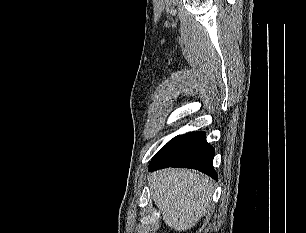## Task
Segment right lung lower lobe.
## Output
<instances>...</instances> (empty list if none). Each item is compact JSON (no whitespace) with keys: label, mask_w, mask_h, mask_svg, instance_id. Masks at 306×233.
<instances>
[{"label":"right lung lower lobe","mask_w":306,"mask_h":233,"mask_svg":"<svg viewBox=\"0 0 306 233\" xmlns=\"http://www.w3.org/2000/svg\"><path fill=\"white\" fill-rule=\"evenodd\" d=\"M214 148L207 143L203 131L187 133L173 141L149 164V171L166 167H185L197 169L217 180L213 168Z\"/></svg>","instance_id":"right-lung-lower-lobe-1"}]
</instances>
